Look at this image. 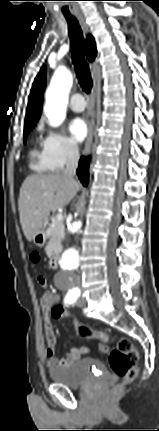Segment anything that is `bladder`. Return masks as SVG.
I'll list each match as a JSON object with an SVG mask.
<instances>
[{"label":"bladder","mask_w":159,"mask_h":431,"mask_svg":"<svg viewBox=\"0 0 159 431\" xmlns=\"http://www.w3.org/2000/svg\"><path fill=\"white\" fill-rule=\"evenodd\" d=\"M49 376L55 383L71 389H79L98 379L108 378L109 372L101 361L83 358L66 367L50 369Z\"/></svg>","instance_id":"31cf9c89"}]
</instances>
